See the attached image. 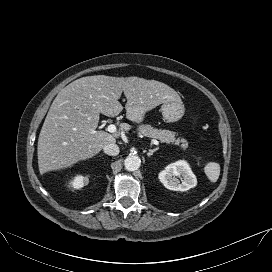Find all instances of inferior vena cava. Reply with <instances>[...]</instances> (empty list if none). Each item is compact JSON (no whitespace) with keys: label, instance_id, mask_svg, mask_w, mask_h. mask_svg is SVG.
Masks as SVG:
<instances>
[{"label":"inferior vena cava","instance_id":"inferior-vena-cava-1","mask_svg":"<svg viewBox=\"0 0 272 272\" xmlns=\"http://www.w3.org/2000/svg\"><path fill=\"white\" fill-rule=\"evenodd\" d=\"M104 153L109 156H116L119 154V147L115 143H109L103 148Z\"/></svg>","mask_w":272,"mask_h":272}]
</instances>
